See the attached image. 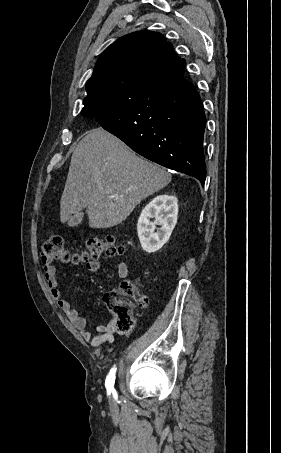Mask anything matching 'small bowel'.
Instances as JSON below:
<instances>
[{
	"label": "small bowel",
	"mask_w": 281,
	"mask_h": 453,
	"mask_svg": "<svg viewBox=\"0 0 281 453\" xmlns=\"http://www.w3.org/2000/svg\"><path fill=\"white\" fill-rule=\"evenodd\" d=\"M87 268L91 272L99 271L98 262H89ZM128 274V266L124 262H120L117 268V276L119 279H125ZM43 275L47 288L52 298L58 301L59 307L66 314L75 327L80 330L82 338L87 340L94 348L100 347L104 343H111L113 340V330L115 325L112 321L107 324L99 325L96 330H87V319L81 316L73 307L72 303L63 296L62 289L56 280V270L51 262L43 263ZM98 310V308H97Z\"/></svg>",
	"instance_id": "small-bowel-1"
}]
</instances>
